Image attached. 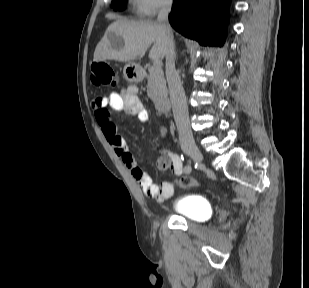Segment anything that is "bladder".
<instances>
[{
	"label": "bladder",
	"instance_id": "bladder-1",
	"mask_svg": "<svg viewBox=\"0 0 309 288\" xmlns=\"http://www.w3.org/2000/svg\"><path fill=\"white\" fill-rule=\"evenodd\" d=\"M172 210L176 215L195 222H204L210 214V203L207 198L198 194H188L178 199Z\"/></svg>",
	"mask_w": 309,
	"mask_h": 288
}]
</instances>
